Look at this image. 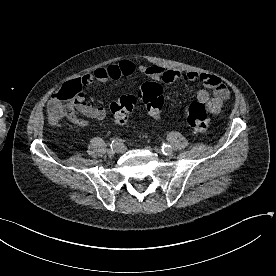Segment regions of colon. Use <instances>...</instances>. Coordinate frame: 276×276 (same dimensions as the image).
Returning <instances> with one entry per match:
<instances>
[{
    "label": "colon",
    "instance_id": "colon-1",
    "mask_svg": "<svg viewBox=\"0 0 276 276\" xmlns=\"http://www.w3.org/2000/svg\"><path fill=\"white\" fill-rule=\"evenodd\" d=\"M82 95V85L78 79L69 81L61 86L50 100V114L53 119L68 115L73 111L74 105ZM141 100L147 108L149 115L155 120H161L163 106L162 88L157 82H147L142 85L138 95H125L110 106L115 122L124 126L129 121V116ZM184 119L195 133H204L209 127L206 108L202 103H190L184 112Z\"/></svg>",
    "mask_w": 276,
    "mask_h": 276
}]
</instances>
